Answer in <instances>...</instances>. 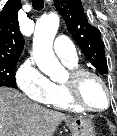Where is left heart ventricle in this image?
I'll return each instance as SVG.
<instances>
[{
  "label": "left heart ventricle",
  "instance_id": "left-heart-ventricle-1",
  "mask_svg": "<svg viewBox=\"0 0 117 136\" xmlns=\"http://www.w3.org/2000/svg\"><path fill=\"white\" fill-rule=\"evenodd\" d=\"M69 76L65 79L67 81ZM80 97L83 103L93 109H102L107 104V94L102 84L94 77H86L80 85Z\"/></svg>",
  "mask_w": 117,
  "mask_h": 136
}]
</instances>
